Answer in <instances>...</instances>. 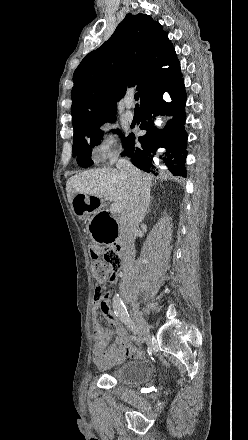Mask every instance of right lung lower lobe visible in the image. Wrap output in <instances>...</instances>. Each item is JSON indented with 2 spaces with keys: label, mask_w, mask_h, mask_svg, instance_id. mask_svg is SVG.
I'll use <instances>...</instances> for the list:
<instances>
[{
  "label": "right lung lower lobe",
  "mask_w": 248,
  "mask_h": 440,
  "mask_svg": "<svg viewBox=\"0 0 248 440\" xmlns=\"http://www.w3.org/2000/svg\"><path fill=\"white\" fill-rule=\"evenodd\" d=\"M168 91L172 102L167 103L162 95ZM186 93L183 79L178 80L166 89L153 94L144 99L140 104L142 122L140 129L146 130V134L138 139L134 134L128 136V143L123 153L124 156L131 157L134 166L148 173L157 175L153 164V157L156 150L160 147L167 149L163 160L166 162L168 170L173 175L186 177V142L187 134L184 128L185 113L184 106ZM159 115H174L168 122L164 130L159 131L154 126V120ZM141 143L136 146V141Z\"/></svg>",
  "instance_id": "1"
}]
</instances>
